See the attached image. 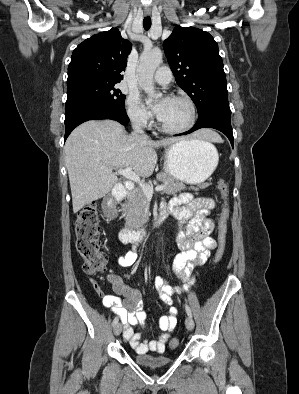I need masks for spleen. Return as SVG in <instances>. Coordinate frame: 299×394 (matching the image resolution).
Returning <instances> with one entry per match:
<instances>
[{"instance_id":"spleen-1","label":"spleen","mask_w":299,"mask_h":394,"mask_svg":"<svg viewBox=\"0 0 299 394\" xmlns=\"http://www.w3.org/2000/svg\"><path fill=\"white\" fill-rule=\"evenodd\" d=\"M208 145L210 148H212V149L214 148V146L211 143H208Z\"/></svg>"}]
</instances>
